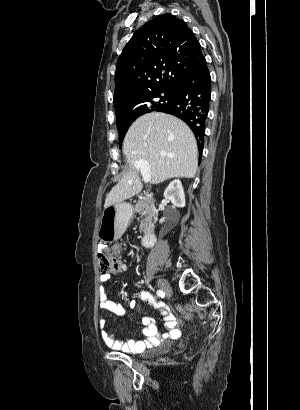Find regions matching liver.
<instances>
[{
	"mask_svg": "<svg viewBox=\"0 0 300 410\" xmlns=\"http://www.w3.org/2000/svg\"><path fill=\"white\" fill-rule=\"evenodd\" d=\"M129 169L105 199L104 208L123 202L142 190L135 163L146 160L151 182L174 177L193 178L198 167L197 142L191 129L179 118L160 112L139 117L123 141Z\"/></svg>",
	"mask_w": 300,
	"mask_h": 410,
	"instance_id": "6515ba94",
	"label": "liver"
}]
</instances>
